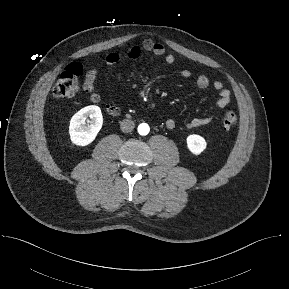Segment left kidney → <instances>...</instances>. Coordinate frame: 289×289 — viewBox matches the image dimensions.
<instances>
[{
  "label": "left kidney",
  "instance_id": "obj_1",
  "mask_svg": "<svg viewBox=\"0 0 289 289\" xmlns=\"http://www.w3.org/2000/svg\"><path fill=\"white\" fill-rule=\"evenodd\" d=\"M186 141L188 149L195 155L201 154L207 146L206 140L197 134L189 135Z\"/></svg>",
  "mask_w": 289,
  "mask_h": 289
}]
</instances>
